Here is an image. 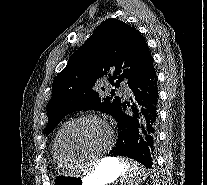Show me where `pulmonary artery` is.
I'll list each match as a JSON object with an SVG mask.
<instances>
[{
	"mask_svg": "<svg viewBox=\"0 0 207 185\" xmlns=\"http://www.w3.org/2000/svg\"><path fill=\"white\" fill-rule=\"evenodd\" d=\"M120 90H121V91H123V93H124V94H126V95H129V94H130V92H129V89H128V88L121 87V88H120Z\"/></svg>",
	"mask_w": 207,
	"mask_h": 185,
	"instance_id": "obj_1",
	"label": "pulmonary artery"
}]
</instances>
